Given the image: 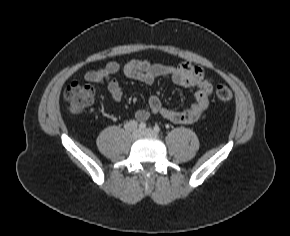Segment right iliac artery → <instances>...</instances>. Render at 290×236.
<instances>
[{
	"label": "right iliac artery",
	"mask_w": 290,
	"mask_h": 236,
	"mask_svg": "<svg viewBox=\"0 0 290 236\" xmlns=\"http://www.w3.org/2000/svg\"><path fill=\"white\" fill-rule=\"evenodd\" d=\"M139 129L140 130H144L146 128V123L144 122H141L139 125H138Z\"/></svg>",
	"instance_id": "82829eb1"
}]
</instances>
